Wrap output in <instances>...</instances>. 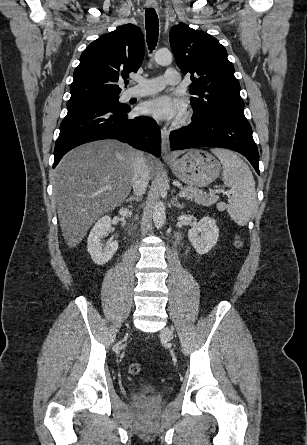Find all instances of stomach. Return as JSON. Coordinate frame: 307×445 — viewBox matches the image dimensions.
Returning a JSON list of instances; mask_svg holds the SVG:
<instances>
[{
	"label": "stomach",
	"mask_w": 307,
	"mask_h": 445,
	"mask_svg": "<svg viewBox=\"0 0 307 445\" xmlns=\"http://www.w3.org/2000/svg\"><path fill=\"white\" fill-rule=\"evenodd\" d=\"M180 180L189 186H207L216 180L222 168L221 162L205 150H189L182 158L168 162Z\"/></svg>",
	"instance_id": "stomach-1"
}]
</instances>
